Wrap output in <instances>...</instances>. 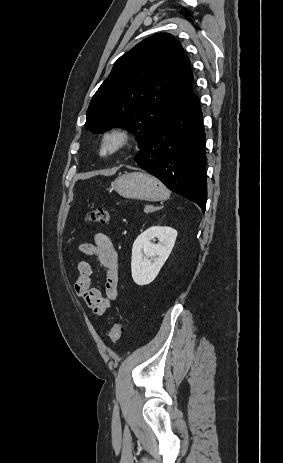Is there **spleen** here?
Wrapping results in <instances>:
<instances>
[{"mask_svg": "<svg viewBox=\"0 0 283 463\" xmlns=\"http://www.w3.org/2000/svg\"><path fill=\"white\" fill-rule=\"evenodd\" d=\"M170 195V192L166 189V192H165V196H164V199L168 198Z\"/></svg>", "mask_w": 283, "mask_h": 463, "instance_id": "1", "label": "spleen"}]
</instances>
